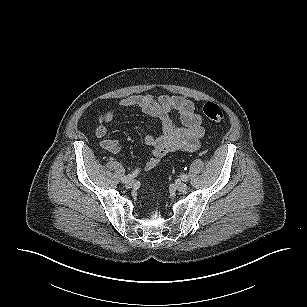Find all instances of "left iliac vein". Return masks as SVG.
<instances>
[{
    "instance_id": "left-iliac-vein-1",
    "label": "left iliac vein",
    "mask_w": 307,
    "mask_h": 307,
    "mask_svg": "<svg viewBox=\"0 0 307 307\" xmlns=\"http://www.w3.org/2000/svg\"><path fill=\"white\" fill-rule=\"evenodd\" d=\"M174 188L180 192H186L188 186L185 183L179 181L174 184Z\"/></svg>"
}]
</instances>
